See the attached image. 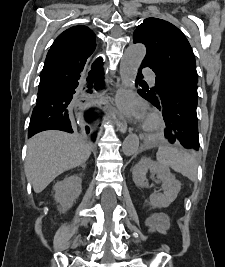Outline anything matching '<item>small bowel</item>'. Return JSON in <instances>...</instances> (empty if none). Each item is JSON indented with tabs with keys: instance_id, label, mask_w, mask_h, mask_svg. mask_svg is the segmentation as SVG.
Returning <instances> with one entry per match:
<instances>
[{
	"instance_id": "obj_1",
	"label": "small bowel",
	"mask_w": 225,
	"mask_h": 267,
	"mask_svg": "<svg viewBox=\"0 0 225 267\" xmlns=\"http://www.w3.org/2000/svg\"><path fill=\"white\" fill-rule=\"evenodd\" d=\"M147 226L150 232H159L162 234H168L171 223L166 214L153 213L147 218Z\"/></svg>"
}]
</instances>
